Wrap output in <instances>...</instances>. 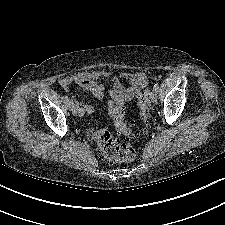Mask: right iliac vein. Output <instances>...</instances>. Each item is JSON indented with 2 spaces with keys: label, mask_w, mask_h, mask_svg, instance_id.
<instances>
[{
  "label": "right iliac vein",
  "mask_w": 225,
  "mask_h": 225,
  "mask_svg": "<svg viewBox=\"0 0 225 225\" xmlns=\"http://www.w3.org/2000/svg\"><path fill=\"white\" fill-rule=\"evenodd\" d=\"M71 111L74 116H77L79 114V107L76 104H73L71 106Z\"/></svg>",
  "instance_id": "63e3f726"
}]
</instances>
